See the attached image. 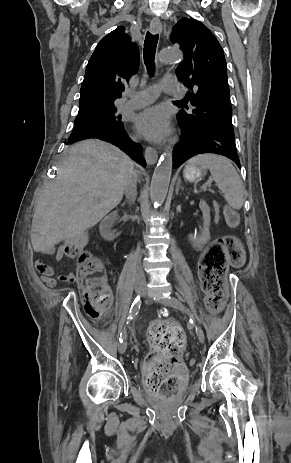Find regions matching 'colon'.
I'll use <instances>...</instances> for the list:
<instances>
[{"mask_svg":"<svg viewBox=\"0 0 291 463\" xmlns=\"http://www.w3.org/2000/svg\"><path fill=\"white\" fill-rule=\"evenodd\" d=\"M225 215L230 224L237 222V214L232 209L226 208ZM86 244V237L78 235L64 245L63 251L76 260L77 279L86 313L98 317L109 306L111 294L105 288L103 266L86 250ZM240 258V242L233 235L220 237L203 253L199 263L200 277L207 294V305L212 311H219L224 303L228 259L239 261ZM149 342L153 353L145 364L146 385L165 397L173 396L184 373L180 357L185 347V334L175 323L158 322L150 329Z\"/></svg>","mask_w":291,"mask_h":463,"instance_id":"colon-1","label":"colon"}]
</instances>
